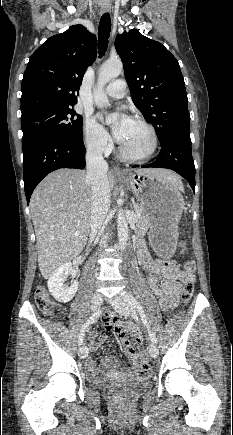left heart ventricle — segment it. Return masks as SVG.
<instances>
[{
  "instance_id": "b2bd125f",
  "label": "left heart ventricle",
  "mask_w": 233,
  "mask_h": 435,
  "mask_svg": "<svg viewBox=\"0 0 233 435\" xmlns=\"http://www.w3.org/2000/svg\"><path fill=\"white\" fill-rule=\"evenodd\" d=\"M120 144L128 154L140 156L149 150L151 136L146 127L131 120Z\"/></svg>"
}]
</instances>
